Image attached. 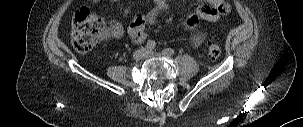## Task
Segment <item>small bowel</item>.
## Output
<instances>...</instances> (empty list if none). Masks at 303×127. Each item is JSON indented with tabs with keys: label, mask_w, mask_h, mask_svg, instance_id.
I'll list each match as a JSON object with an SVG mask.
<instances>
[{
	"label": "small bowel",
	"mask_w": 303,
	"mask_h": 127,
	"mask_svg": "<svg viewBox=\"0 0 303 127\" xmlns=\"http://www.w3.org/2000/svg\"><path fill=\"white\" fill-rule=\"evenodd\" d=\"M101 0H91V6H96ZM116 2L118 0H110ZM155 7L146 15L136 13L128 27V34L134 42H142L147 34L145 31L146 23L156 22L160 16L169 8L168 0H153ZM205 3L204 6L198 7L195 12L189 15L184 21V28L190 32H196L199 20L213 22L218 20L221 14L229 11L224 0H200ZM123 26L116 21L110 22V36L119 38L123 35ZM204 40V36H196L193 40L195 47L199 46Z\"/></svg>",
	"instance_id": "obj_1"
}]
</instances>
